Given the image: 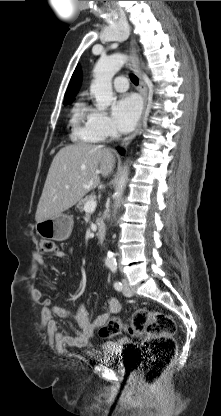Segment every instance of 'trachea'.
<instances>
[{
  "mask_svg": "<svg viewBox=\"0 0 221 416\" xmlns=\"http://www.w3.org/2000/svg\"><path fill=\"white\" fill-rule=\"evenodd\" d=\"M130 80L132 81V83H134L135 85H138V77L135 76L134 74L130 75Z\"/></svg>",
  "mask_w": 221,
  "mask_h": 416,
  "instance_id": "obj_1",
  "label": "trachea"
}]
</instances>
